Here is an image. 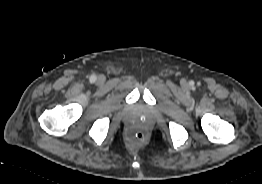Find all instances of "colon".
<instances>
[{
  "label": "colon",
  "mask_w": 262,
  "mask_h": 184,
  "mask_svg": "<svg viewBox=\"0 0 262 184\" xmlns=\"http://www.w3.org/2000/svg\"><path fill=\"white\" fill-rule=\"evenodd\" d=\"M129 140L134 145L143 144L146 140V134L140 127H134L130 130Z\"/></svg>",
  "instance_id": "obj_1"
}]
</instances>
